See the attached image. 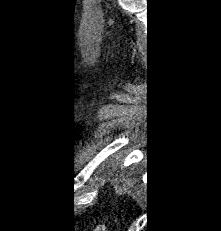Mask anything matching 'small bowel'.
Here are the masks:
<instances>
[{"mask_svg":"<svg viewBox=\"0 0 221 231\" xmlns=\"http://www.w3.org/2000/svg\"><path fill=\"white\" fill-rule=\"evenodd\" d=\"M94 231H104V227L103 226H98L95 228Z\"/></svg>","mask_w":221,"mask_h":231,"instance_id":"small-bowel-1","label":"small bowel"}]
</instances>
